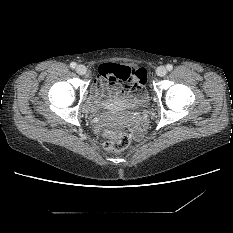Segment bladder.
Instances as JSON below:
<instances>
[{
	"instance_id": "1",
	"label": "bladder",
	"mask_w": 233,
	"mask_h": 233,
	"mask_svg": "<svg viewBox=\"0 0 233 233\" xmlns=\"http://www.w3.org/2000/svg\"><path fill=\"white\" fill-rule=\"evenodd\" d=\"M148 101H149V95L145 93L144 95L138 98L137 105L140 107L145 106ZM87 114L91 116V115H95L96 113L93 111H87Z\"/></svg>"
}]
</instances>
